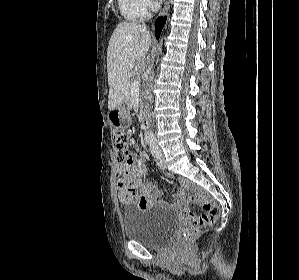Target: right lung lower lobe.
<instances>
[{
	"instance_id": "98d812e1",
	"label": "right lung lower lobe",
	"mask_w": 299,
	"mask_h": 280,
	"mask_svg": "<svg viewBox=\"0 0 299 280\" xmlns=\"http://www.w3.org/2000/svg\"><path fill=\"white\" fill-rule=\"evenodd\" d=\"M165 22H166V17H159L156 20V23H155V36H156L157 39L160 36V33L163 29V26H164Z\"/></svg>"
}]
</instances>
